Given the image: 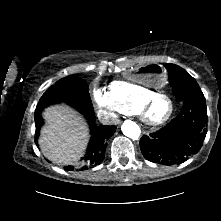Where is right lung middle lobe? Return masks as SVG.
Returning a JSON list of instances; mask_svg holds the SVG:
<instances>
[{"label": "right lung middle lobe", "instance_id": "right-lung-middle-lobe-1", "mask_svg": "<svg viewBox=\"0 0 221 221\" xmlns=\"http://www.w3.org/2000/svg\"><path fill=\"white\" fill-rule=\"evenodd\" d=\"M59 102H66L80 111H85L92 105L88 84L75 76L59 80L42 95L35 114H39L44 107Z\"/></svg>", "mask_w": 221, "mask_h": 221}]
</instances>
